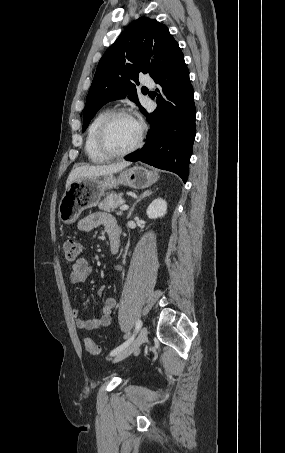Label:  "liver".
<instances>
[{
	"label": "liver",
	"mask_w": 285,
	"mask_h": 453,
	"mask_svg": "<svg viewBox=\"0 0 285 453\" xmlns=\"http://www.w3.org/2000/svg\"><path fill=\"white\" fill-rule=\"evenodd\" d=\"M130 162H120L117 164L102 165V166H79L73 169L67 179L66 189L75 181L83 178H95L100 176L111 175L120 172L125 167L129 166Z\"/></svg>",
	"instance_id": "1"
}]
</instances>
